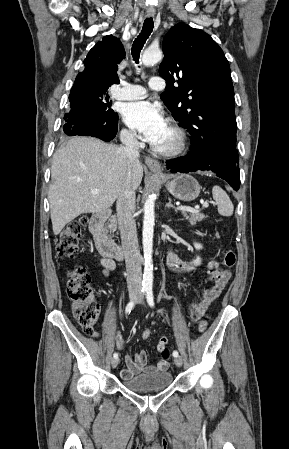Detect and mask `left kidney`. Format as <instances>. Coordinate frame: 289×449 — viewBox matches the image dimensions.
Listing matches in <instances>:
<instances>
[{
  "instance_id": "obj_1",
  "label": "left kidney",
  "mask_w": 289,
  "mask_h": 449,
  "mask_svg": "<svg viewBox=\"0 0 289 449\" xmlns=\"http://www.w3.org/2000/svg\"><path fill=\"white\" fill-rule=\"evenodd\" d=\"M194 247H195L196 250L202 249V245L199 244V243H196V242L194 243ZM200 262H201V258L199 256H197L196 259H194L192 261V263H194V264H199Z\"/></svg>"
}]
</instances>
